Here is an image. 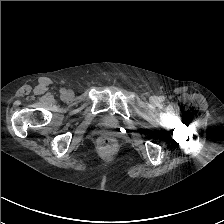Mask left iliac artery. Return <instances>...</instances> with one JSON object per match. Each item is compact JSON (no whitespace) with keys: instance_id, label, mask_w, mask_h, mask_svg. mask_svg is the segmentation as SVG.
Masks as SVG:
<instances>
[{"instance_id":"44dca946","label":"left iliac artery","mask_w":224,"mask_h":224,"mask_svg":"<svg viewBox=\"0 0 224 224\" xmlns=\"http://www.w3.org/2000/svg\"><path fill=\"white\" fill-rule=\"evenodd\" d=\"M160 101L161 102L164 101V97L163 96L160 97Z\"/></svg>"}]
</instances>
